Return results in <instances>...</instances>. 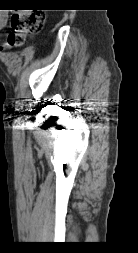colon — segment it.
Returning <instances> with one entry per match:
<instances>
[{"mask_svg":"<svg viewBox=\"0 0 138 253\" xmlns=\"http://www.w3.org/2000/svg\"><path fill=\"white\" fill-rule=\"evenodd\" d=\"M11 32L7 42L10 46L22 43L25 36L40 31L44 25V15L40 12H16L10 19Z\"/></svg>","mask_w":138,"mask_h":253,"instance_id":"5ec220e1","label":"colon"}]
</instances>
